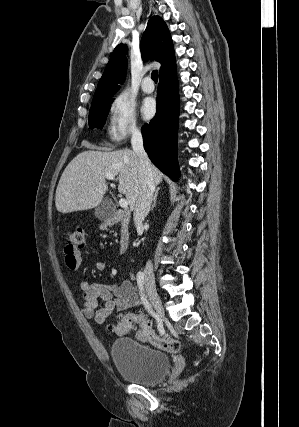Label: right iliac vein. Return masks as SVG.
<instances>
[{"label": "right iliac vein", "mask_w": 299, "mask_h": 427, "mask_svg": "<svg viewBox=\"0 0 299 427\" xmlns=\"http://www.w3.org/2000/svg\"><path fill=\"white\" fill-rule=\"evenodd\" d=\"M146 289L148 296L152 302V305L154 306L156 312L158 313L160 318H164V308L160 299V296L157 292L155 281L152 277L146 278Z\"/></svg>", "instance_id": "63e3f726"}]
</instances>
